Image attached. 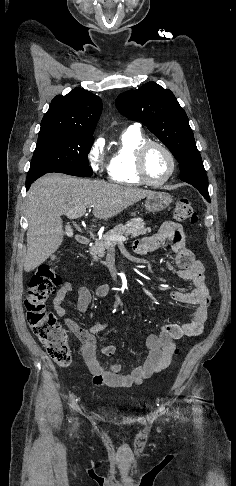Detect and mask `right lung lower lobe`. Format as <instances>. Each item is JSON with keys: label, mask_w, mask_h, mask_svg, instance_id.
Returning a JSON list of instances; mask_svg holds the SVG:
<instances>
[{"label": "right lung lower lobe", "mask_w": 236, "mask_h": 486, "mask_svg": "<svg viewBox=\"0 0 236 486\" xmlns=\"http://www.w3.org/2000/svg\"><path fill=\"white\" fill-rule=\"evenodd\" d=\"M46 173H42V174H36V175H33V176H30V177H27V181H26V191L29 189L30 185L36 180L38 179L39 177H41L42 175H44Z\"/></svg>", "instance_id": "right-lung-lower-lobe-1"}]
</instances>
